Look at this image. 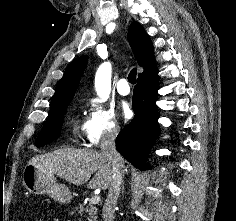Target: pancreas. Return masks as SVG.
Masks as SVG:
<instances>
[{
    "mask_svg": "<svg viewBox=\"0 0 236 221\" xmlns=\"http://www.w3.org/2000/svg\"><path fill=\"white\" fill-rule=\"evenodd\" d=\"M97 211L98 209L89 204L84 207L82 204H79L74 208L73 213L78 217L79 221H97Z\"/></svg>",
    "mask_w": 236,
    "mask_h": 221,
    "instance_id": "obj_1",
    "label": "pancreas"
}]
</instances>
